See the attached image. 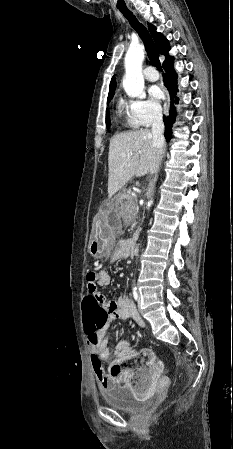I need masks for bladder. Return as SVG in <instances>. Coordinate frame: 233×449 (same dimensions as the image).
<instances>
[{"mask_svg":"<svg viewBox=\"0 0 233 449\" xmlns=\"http://www.w3.org/2000/svg\"><path fill=\"white\" fill-rule=\"evenodd\" d=\"M104 401L113 409L123 412H136L149 406L148 400H137L133 392L123 386H113L102 392Z\"/></svg>","mask_w":233,"mask_h":449,"instance_id":"31cf9c89","label":"bladder"}]
</instances>
